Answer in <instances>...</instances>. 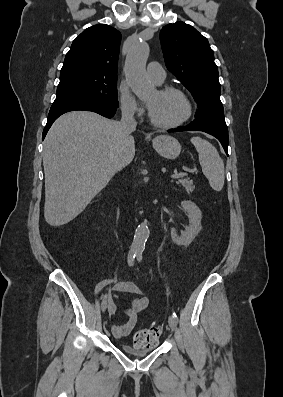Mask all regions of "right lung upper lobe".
Masks as SVG:
<instances>
[{
  "label": "right lung upper lobe",
  "mask_w": 283,
  "mask_h": 397,
  "mask_svg": "<svg viewBox=\"0 0 283 397\" xmlns=\"http://www.w3.org/2000/svg\"><path fill=\"white\" fill-rule=\"evenodd\" d=\"M120 41V32L109 25L87 28L74 39L60 74L75 72L117 77Z\"/></svg>",
  "instance_id": "right-lung-upper-lobe-1"
}]
</instances>
